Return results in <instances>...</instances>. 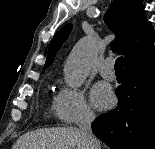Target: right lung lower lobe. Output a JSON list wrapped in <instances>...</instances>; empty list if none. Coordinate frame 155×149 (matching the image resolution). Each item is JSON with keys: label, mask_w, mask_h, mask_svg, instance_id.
I'll list each match as a JSON object with an SVG mask.
<instances>
[{"label": "right lung lower lobe", "mask_w": 155, "mask_h": 149, "mask_svg": "<svg viewBox=\"0 0 155 149\" xmlns=\"http://www.w3.org/2000/svg\"><path fill=\"white\" fill-rule=\"evenodd\" d=\"M124 68L117 108L97 117L92 131L111 149H155V57Z\"/></svg>", "instance_id": "right-lung-lower-lobe-1"}]
</instances>
